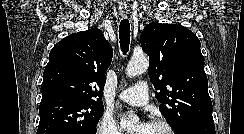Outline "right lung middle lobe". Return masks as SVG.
Returning a JSON list of instances; mask_svg holds the SVG:
<instances>
[{
  "mask_svg": "<svg viewBox=\"0 0 244 134\" xmlns=\"http://www.w3.org/2000/svg\"><path fill=\"white\" fill-rule=\"evenodd\" d=\"M103 110L102 103L69 98L59 97L42 101L39 106L40 122L37 134H53L64 130L96 134V126Z\"/></svg>",
  "mask_w": 244,
  "mask_h": 134,
  "instance_id": "right-lung-middle-lobe-1",
  "label": "right lung middle lobe"
}]
</instances>
